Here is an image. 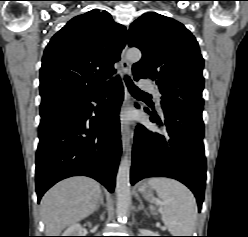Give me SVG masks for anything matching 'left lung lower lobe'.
Listing matches in <instances>:
<instances>
[{
    "instance_id": "left-lung-lower-lobe-1",
    "label": "left lung lower lobe",
    "mask_w": 248,
    "mask_h": 237,
    "mask_svg": "<svg viewBox=\"0 0 248 237\" xmlns=\"http://www.w3.org/2000/svg\"><path fill=\"white\" fill-rule=\"evenodd\" d=\"M145 110L149 113L147 108ZM163 111V123L158 117H151L163 134L152 132L143 125L136 127L131 183L152 176L174 178L190 188L200 210L206 180L203 107L180 102Z\"/></svg>"
}]
</instances>
